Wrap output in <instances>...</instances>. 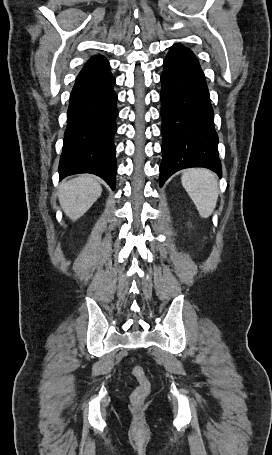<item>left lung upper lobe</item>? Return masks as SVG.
I'll return each instance as SVG.
<instances>
[{
  "mask_svg": "<svg viewBox=\"0 0 272 455\" xmlns=\"http://www.w3.org/2000/svg\"><path fill=\"white\" fill-rule=\"evenodd\" d=\"M189 55H194V54L190 49L177 43L171 47L170 51L167 54V57L180 58V57L189 56Z\"/></svg>",
  "mask_w": 272,
  "mask_h": 455,
  "instance_id": "1",
  "label": "left lung upper lobe"
}]
</instances>
